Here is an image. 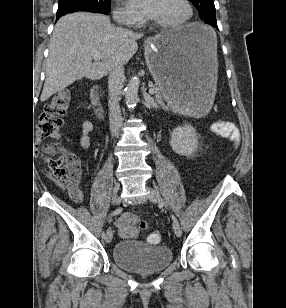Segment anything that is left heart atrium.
<instances>
[{
    "instance_id": "1",
    "label": "left heart atrium",
    "mask_w": 286,
    "mask_h": 308,
    "mask_svg": "<svg viewBox=\"0 0 286 308\" xmlns=\"http://www.w3.org/2000/svg\"><path fill=\"white\" fill-rule=\"evenodd\" d=\"M158 0H127L128 8L135 14L150 17L155 13Z\"/></svg>"
}]
</instances>
